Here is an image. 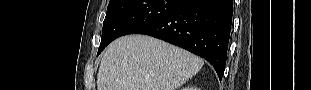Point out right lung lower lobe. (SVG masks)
Here are the masks:
<instances>
[{"instance_id":"right-lung-lower-lobe-1","label":"right lung lower lobe","mask_w":311,"mask_h":90,"mask_svg":"<svg viewBox=\"0 0 311 90\" xmlns=\"http://www.w3.org/2000/svg\"><path fill=\"white\" fill-rule=\"evenodd\" d=\"M233 0H182L168 15L139 30L208 60L219 79L224 74Z\"/></svg>"}]
</instances>
